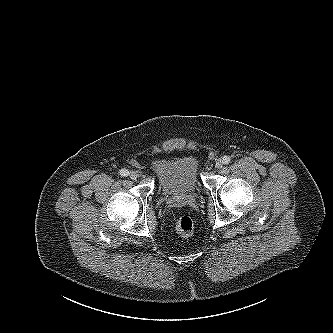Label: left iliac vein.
I'll use <instances>...</instances> for the list:
<instances>
[{
    "label": "left iliac vein",
    "instance_id": "obj_1",
    "mask_svg": "<svg viewBox=\"0 0 333 333\" xmlns=\"http://www.w3.org/2000/svg\"><path fill=\"white\" fill-rule=\"evenodd\" d=\"M223 165L222 159H217L215 162V168L219 169Z\"/></svg>",
    "mask_w": 333,
    "mask_h": 333
}]
</instances>
